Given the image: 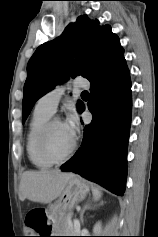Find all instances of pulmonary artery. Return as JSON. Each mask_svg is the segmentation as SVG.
<instances>
[{
  "instance_id": "1",
  "label": "pulmonary artery",
  "mask_w": 158,
  "mask_h": 237,
  "mask_svg": "<svg viewBox=\"0 0 158 237\" xmlns=\"http://www.w3.org/2000/svg\"><path fill=\"white\" fill-rule=\"evenodd\" d=\"M69 84H59L54 89L43 95L38 101L36 106L42 110H45L51 114L55 113L56 108L65 93V90L69 87ZM74 88H89V82L84 78H75L72 82Z\"/></svg>"
}]
</instances>
